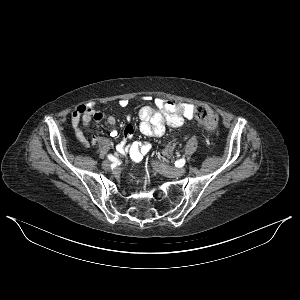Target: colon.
Listing matches in <instances>:
<instances>
[{
    "instance_id": "colon-1",
    "label": "colon",
    "mask_w": 300,
    "mask_h": 300,
    "mask_svg": "<svg viewBox=\"0 0 300 300\" xmlns=\"http://www.w3.org/2000/svg\"><path fill=\"white\" fill-rule=\"evenodd\" d=\"M196 120L205 128L215 130L218 125L219 116L205 104H197L194 109Z\"/></svg>"
}]
</instances>
